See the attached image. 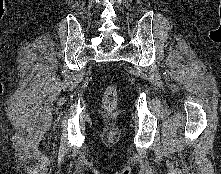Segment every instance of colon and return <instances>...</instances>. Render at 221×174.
<instances>
[{"mask_svg":"<svg viewBox=\"0 0 221 174\" xmlns=\"http://www.w3.org/2000/svg\"><path fill=\"white\" fill-rule=\"evenodd\" d=\"M118 94L113 85H108L103 95V107L107 112H113L117 107Z\"/></svg>","mask_w":221,"mask_h":174,"instance_id":"colon-1","label":"colon"}]
</instances>
